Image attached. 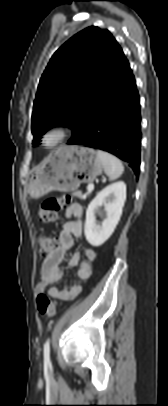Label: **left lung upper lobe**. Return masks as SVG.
<instances>
[{
  "mask_svg": "<svg viewBox=\"0 0 168 406\" xmlns=\"http://www.w3.org/2000/svg\"><path fill=\"white\" fill-rule=\"evenodd\" d=\"M124 54L106 29L88 27L52 56L39 82L33 106L34 146L54 126L78 135Z\"/></svg>",
  "mask_w": 168,
  "mask_h": 406,
  "instance_id": "5c2ea615",
  "label": "left lung upper lobe"
}]
</instances>
